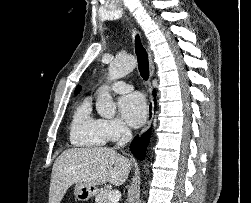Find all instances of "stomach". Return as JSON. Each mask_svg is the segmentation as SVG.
Returning a JSON list of instances; mask_svg holds the SVG:
<instances>
[{"mask_svg": "<svg viewBox=\"0 0 251 203\" xmlns=\"http://www.w3.org/2000/svg\"><path fill=\"white\" fill-rule=\"evenodd\" d=\"M97 192H98L97 187L90 184L77 183L75 185L74 194H75V197L80 201L89 200L90 198L95 196Z\"/></svg>", "mask_w": 251, "mask_h": 203, "instance_id": "1", "label": "stomach"}]
</instances>
